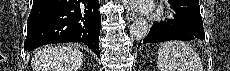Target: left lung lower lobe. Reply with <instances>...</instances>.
I'll return each mask as SVG.
<instances>
[{"label":"left lung lower lobe","instance_id":"1","mask_svg":"<svg viewBox=\"0 0 230 71\" xmlns=\"http://www.w3.org/2000/svg\"><path fill=\"white\" fill-rule=\"evenodd\" d=\"M199 0H169L175 12V20L165 24L154 23L146 38L145 43H157L167 40H193L204 39V29L200 14ZM171 22L173 24H171Z\"/></svg>","mask_w":230,"mask_h":71}]
</instances>
